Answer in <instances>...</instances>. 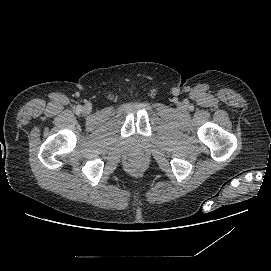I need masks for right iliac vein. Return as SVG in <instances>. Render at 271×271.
I'll use <instances>...</instances> for the list:
<instances>
[{"label": "right iliac vein", "instance_id": "63e3f726", "mask_svg": "<svg viewBox=\"0 0 271 271\" xmlns=\"http://www.w3.org/2000/svg\"><path fill=\"white\" fill-rule=\"evenodd\" d=\"M82 112L84 114H89L91 112V108L89 106H84Z\"/></svg>", "mask_w": 271, "mask_h": 271}]
</instances>
